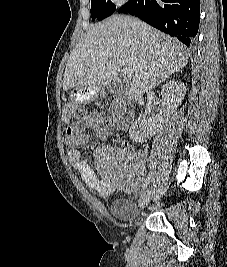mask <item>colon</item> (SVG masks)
<instances>
[{"mask_svg":"<svg viewBox=\"0 0 227 267\" xmlns=\"http://www.w3.org/2000/svg\"><path fill=\"white\" fill-rule=\"evenodd\" d=\"M109 109L114 113L123 114L128 111L129 106L120 99H113ZM63 114L65 120L82 119L85 117L83 108L78 104H66L63 109Z\"/></svg>","mask_w":227,"mask_h":267,"instance_id":"obj_1","label":"colon"}]
</instances>
